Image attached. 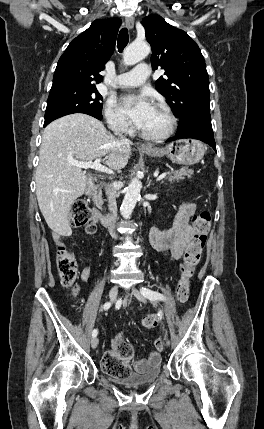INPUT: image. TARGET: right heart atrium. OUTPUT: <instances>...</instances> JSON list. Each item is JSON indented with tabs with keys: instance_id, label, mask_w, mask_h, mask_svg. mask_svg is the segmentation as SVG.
Here are the masks:
<instances>
[{
	"instance_id": "d8ad5b80",
	"label": "right heart atrium",
	"mask_w": 264,
	"mask_h": 429,
	"mask_svg": "<svg viewBox=\"0 0 264 429\" xmlns=\"http://www.w3.org/2000/svg\"><path fill=\"white\" fill-rule=\"evenodd\" d=\"M105 119L109 128L117 133H126L130 125L125 116L117 109L114 102L109 101L105 107Z\"/></svg>"
}]
</instances>
